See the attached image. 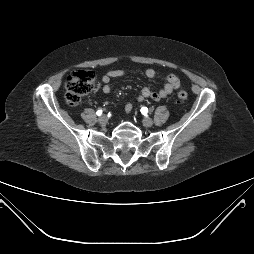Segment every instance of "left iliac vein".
Returning a JSON list of instances; mask_svg holds the SVG:
<instances>
[{"mask_svg": "<svg viewBox=\"0 0 254 254\" xmlns=\"http://www.w3.org/2000/svg\"><path fill=\"white\" fill-rule=\"evenodd\" d=\"M142 123L145 127H151L153 125V121L147 117H144Z\"/></svg>", "mask_w": 254, "mask_h": 254, "instance_id": "obj_1", "label": "left iliac vein"}]
</instances>
